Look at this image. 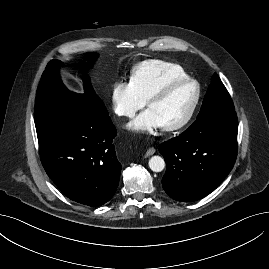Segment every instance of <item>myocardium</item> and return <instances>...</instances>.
<instances>
[{"label":"myocardium","mask_w":269,"mask_h":269,"mask_svg":"<svg viewBox=\"0 0 269 269\" xmlns=\"http://www.w3.org/2000/svg\"><path fill=\"white\" fill-rule=\"evenodd\" d=\"M187 84H193L195 86V95L194 99L185 114V116L177 123L169 125V126H164L163 129L168 132H174L183 129L186 127L191 119L193 118L196 109L199 105L200 98H201V87L200 84L197 80L187 77L183 79H177L174 81L169 82L162 88L158 89L155 91L146 101V106L149 107L152 103L157 102L163 98H165L172 90L179 86L187 85Z\"/></svg>","instance_id":"1"}]
</instances>
